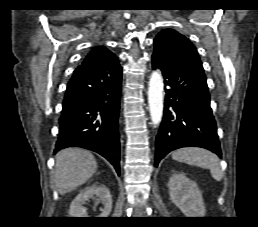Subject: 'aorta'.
Masks as SVG:
<instances>
[{
  "instance_id": "aorta-1",
  "label": "aorta",
  "mask_w": 258,
  "mask_h": 227,
  "mask_svg": "<svg viewBox=\"0 0 258 227\" xmlns=\"http://www.w3.org/2000/svg\"><path fill=\"white\" fill-rule=\"evenodd\" d=\"M148 104L151 120L157 125L163 116V79L158 71H154L149 80Z\"/></svg>"
}]
</instances>
